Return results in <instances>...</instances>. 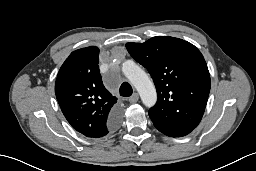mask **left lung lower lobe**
Segmentation results:
<instances>
[{
	"label": "left lung lower lobe",
	"mask_w": 256,
	"mask_h": 171,
	"mask_svg": "<svg viewBox=\"0 0 256 171\" xmlns=\"http://www.w3.org/2000/svg\"><path fill=\"white\" fill-rule=\"evenodd\" d=\"M157 129H158L159 131H161L162 133H164V134L170 136V137H174V136H172L170 133H168V132L165 131V130L160 129L159 127H157Z\"/></svg>",
	"instance_id": "0a47b994"
}]
</instances>
